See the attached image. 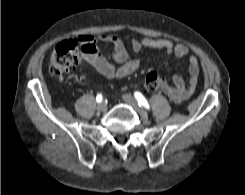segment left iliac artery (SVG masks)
Returning <instances> with one entry per match:
<instances>
[{"label": "left iliac artery", "mask_w": 245, "mask_h": 195, "mask_svg": "<svg viewBox=\"0 0 245 195\" xmlns=\"http://www.w3.org/2000/svg\"><path fill=\"white\" fill-rule=\"evenodd\" d=\"M134 96L137 99L138 105L140 107H145L146 109H150V106H149L147 100L145 99V97L140 92H135Z\"/></svg>", "instance_id": "1"}]
</instances>
